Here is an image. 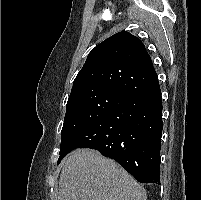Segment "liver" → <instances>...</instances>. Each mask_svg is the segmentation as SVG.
<instances>
[{"instance_id": "6515ba94", "label": "liver", "mask_w": 201, "mask_h": 200, "mask_svg": "<svg viewBox=\"0 0 201 200\" xmlns=\"http://www.w3.org/2000/svg\"><path fill=\"white\" fill-rule=\"evenodd\" d=\"M146 191L118 163L77 149L65 160L58 200H146Z\"/></svg>"}]
</instances>
